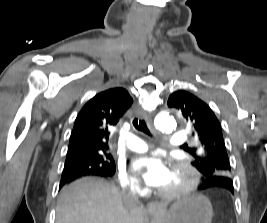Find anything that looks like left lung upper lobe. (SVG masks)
I'll use <instances>...</instances> for the list:
<instances>
[{"label": "left lung upper lobe", "instance_id": "left-lung-upper-lobe-1", "mask_svg": "<svg viewBox=\"0 0 267 223\" xmlns=\"http://www.w3.org/2000/svg\"><path fill=\"white\" fill-rule=\"evenodd\" d=\"M168 106L181 111L187 122L197 132L203 148L201 155H194L192 165L202 174L227 173L231 167L225 148L221 126L210 107L193 94L179 90L170 95ZM213 178H204V181Z\"/></svg>", "mask_w": 267, "mask_h": 223}]
</instances>
